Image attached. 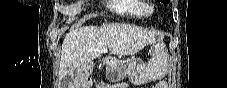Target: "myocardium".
<instances>
[{
	"label": "myocardium",
	"mask_w": 227,
	"mask_h": 88,
	"mask_svg": "<svg viewBox=\"0 0 227 88\" xmlns=\"http://www.w3.org/2000/svg\"><path fill=\"white\" fill-rule=\"evenodd\" d=\"M155 12V9L149 4V1H143V5L140 8V13L144 17H151Z\"/></svg>",
	"instance_id": "f54148a6"
}]
</instances>
